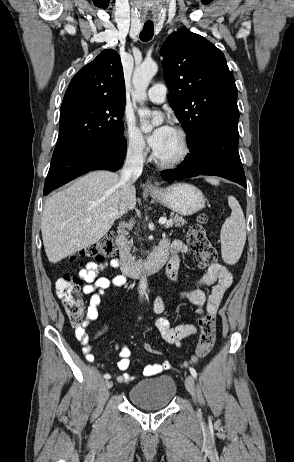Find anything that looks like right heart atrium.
I'll use <instances>...</instances> for the list:
<instances>
[{
    "label": "right heart atrium",
    "mask_w": 294,
    "mask_h": 462,
    "mask_svg": "<svg viewBox=\"0 0 294 462\" xmlns=\"http://www.w3.org/2000/svg\"><path fill=\"white\" fill-rule=\"evenodd\" d=\"M123 119L125 124L126 146L128 152L137 158H144L147 153V148L142 133L135 126L134 121L127 114L124 115Z\"/></svg>",
    "instance_id": "1"
}]
</instances>
